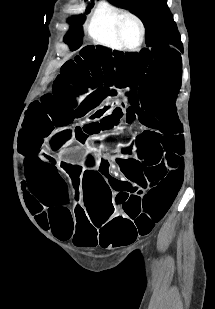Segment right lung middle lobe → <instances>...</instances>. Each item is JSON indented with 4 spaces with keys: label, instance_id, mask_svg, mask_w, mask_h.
<instances>
[{
    "label": "right lung middle lobe",
    "instance_id": "dd1d6c3e",
    "mask_svg": "<svg viewBox=\"0 0 215 309\" xmlns=\"http://www.w3.org/2000/svg\"><path fill=\"white\" fill-rule=\"evenodd\" d=\"M89 6L87 11H89ZM64 41L70 45L71 50L78 49L82 44V27L80 25V18L77 19V24L73 25L65 36Z\"/></svg>",
    "mask_w": 215,
    "mask_h": 309
}]
</instances>
